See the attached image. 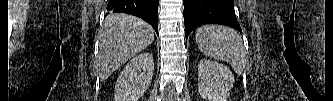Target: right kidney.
<instances>
[{"instance_id":"1","label":"right kidney","mask_w":333,"mask_h":101,"mask_svg":"<svg viewBox=\"0 0 333 101\" xmlns=\"http://www.w3.org/2000/svg\"><path fill=\"white\" fill-rule=\"evenodd\" d=\"M154 70L152 53H142L127 63L115 86V101H138L149 87Z\"/></svg>"}]
</instances>
